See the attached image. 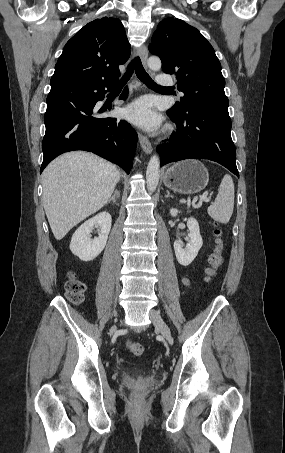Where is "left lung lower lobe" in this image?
<instances>
[{
  "label": "left lung lower lobe",
  "instance_id": "1",
  "mask_svg": "<svg viewBox=\"0 0 285 453\" xmlns=\"http://www.w3.org/2000/svg\"><path fill=\"white\" fill-rule=\"evenodd\" d=\"M167 113L176 123L177 132L170 136L169 143L157 147L161 166L188 158L209 159L239 177L228 110L195 106Z\"/></svg>",
  "mask_w": 285,
  "mask_h": 453
}]
</instances>
